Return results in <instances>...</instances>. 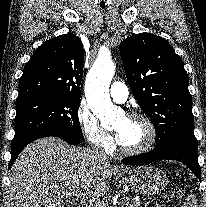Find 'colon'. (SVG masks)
<instances>
[{
    "label": "colon",
    "instance_id": "5ec220e1",
    "mask_svg": "<svg viewBox=\"0 0 206 207\" xmlns=\"http://www.w3.org/2000/svg\"><path fill=\"white\" fill-rule=\"evenodd\" d=\"M180 197H181V193L179 191H175L172 193V207L178 206Z\"/></svg>",
    "mask_w": 206,
    "mask_h": 207
}]
</instances>
